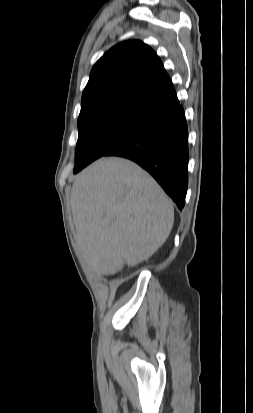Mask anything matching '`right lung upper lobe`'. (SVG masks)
I'll return each instance as SVG.
<instances>
[{"instance_id": "1", "label": "right lung upper lobe", "mask_w": 253, "mask_h": 413, "mask_svg": "<svg viewBox=\"0 0 253 413\" xmlns=\"http://www.w3.org/2000/svg\"><path fill=\"white\" fill-rule=\"evenodd\" d=\"M178 105L160 58L148 45L130 40L111 48L92 68L79 117L115 107L157 116Z\"/></svg>"}]
</instances>
